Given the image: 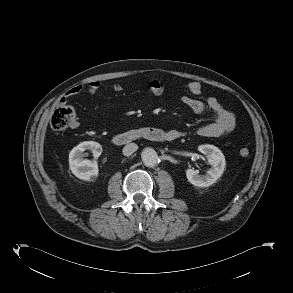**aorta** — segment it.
I'll return each mask as SVG.
<instances>
[{"mask_svg":"<svg viewBox=\"0 0 293 293\" xmlns=\"http://www.w3.org/2000/svg\"><path fill=\"white\" fill-rule=\"evenodd\" d=\"M141 158L147 167H154L158 162V155L152 148H145L141 153Z\"/></svg>","mask_w":293,"mask_h":293,"instance_id":"aorta-1","label":"aorta"}]
</instances>
